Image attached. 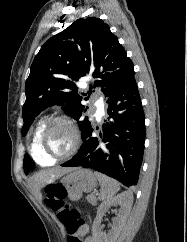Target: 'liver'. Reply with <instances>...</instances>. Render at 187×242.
<instances>
[{
	"mask_svg": "<svg viewBox=\"0 0 187 242\" xmlns=\"http://www.w3.org/2000/svg\"><path fill=\"white\" fill-rule=\"evenodd\" d=\"M75 168H56L48 171H41L32 177L31 183L41 199L40 189L48 184L53 183L56 179L62 177L65 174L70 173Z\"/></svg>",
	"mask_w": 187,
	"mask_h": 242,
	"instance_id": "liver-1",
	"label": "liver"
}]
</instances>
